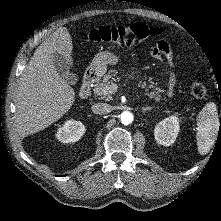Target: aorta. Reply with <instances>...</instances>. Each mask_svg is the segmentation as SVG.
<instances>
[{"instance_id": "762f6f07", "label": "aorta", "mask_w": 221, "mask_h": 221, "mask_svg": "<svg viewBox=\"0 0 221 221\" xmlns=\"http://www.w3.org/2000/svg\"><path fill=\"white\" fill-rule=\"evenodd\" d=\"M120 121L124 125H128L133 122V114L128 111H124L120 115Z\"/></svg>"}]
</instances>
